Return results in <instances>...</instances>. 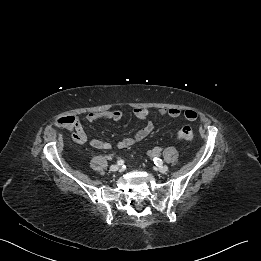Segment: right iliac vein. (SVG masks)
Instances as JSON below:
<instances>
[{"mask_svg":"<svg viewBox=\"0 0 261 261\" xmlns=\"http://www.w3.org/2000/svg\"><path fill=\"white\" fill-rule=\"evenodd\" d=\"M110 170H111L112 172L118 171V170H119V165H117V164L112 165V166L110 167Z\"/></svg>","mask_w":261,"mask_h":261,"instance_id":"1","label":"right iliac vein"}]
</instances>
